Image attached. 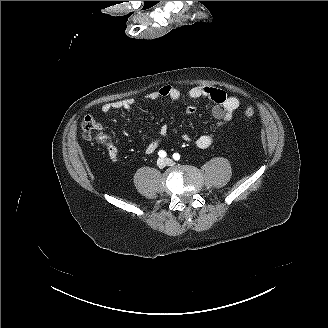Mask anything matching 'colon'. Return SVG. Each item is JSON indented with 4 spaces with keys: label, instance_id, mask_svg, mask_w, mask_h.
<instances>
[{
    "label": "colon",
    "instance_id": "colon-1",
    "mask_svg": "<svg viewBox=\"0 0 328 328\" xmlns=\"http://www.w3.org/2000/svg\"><path fill=\"white\" fill-rule=\"evenodd\" d=\"M247 118H251L255 115L253 107H247L244 111ZM82 130L84 137L90 140H104L105 137L101 133L100 123L91 116H86L82 121Z\"/></svg>",
    "mask_w": 328,
    "mask_h": 328
}]
</instances>
